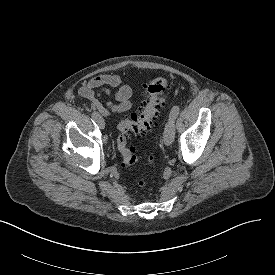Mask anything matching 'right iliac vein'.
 Here are the masks:
<instances>
[{"instance_id": "right-iliac-vein-1", "label": "right iliac vein", "mask_w": 275, "mask_h": 275, "mask_svg": "<svg viewBox=\"0 0 275 275\" xmlns=\"http://www.w3.org/2000/svg\"><path fill=\"white\" fill-rule=\"evenodd\" d=\"M96 122L98 124V126L101 128V129H104L105 127V122H104V119L99 115L98 118L96 119Z\"/></svg>"}]
</instances>
